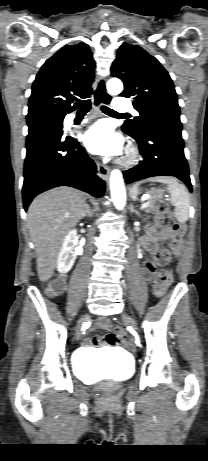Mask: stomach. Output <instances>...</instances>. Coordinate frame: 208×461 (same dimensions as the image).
<instances>
[{"label": "stomach", "instance_id": "stomach-1", "mask_svg": "<svg viewBox=\"0 0 208 461\" xmlns=\"http://www.w3.org/2000/svg\"><path fill=\"white\" fill-rule=\"evenodd\" d=\"M140 192V190L137 188V194Z\"/></svg>", "mask_w": 208, "mask_h": 461}]
</instances>
